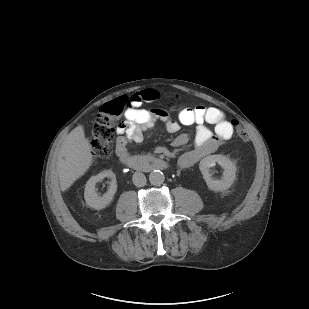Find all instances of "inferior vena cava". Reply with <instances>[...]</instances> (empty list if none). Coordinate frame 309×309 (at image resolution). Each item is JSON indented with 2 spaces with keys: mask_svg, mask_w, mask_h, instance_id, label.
Listing matches in <instances>:
<instances>
[{
  "mask_svg": "<svg viewBox=\"0 0 309 309\" xmlns=\"http://www.w3.org/2000/svg\"><path fill=\"white\" fill-rule=\"evenodd\" d=\"M132 181L135 186L143 187L146 185V177L142 172H135L132 177Z\"/></svg>",
  "mask_w": 309,
  "mask_h": 309,
  "instance_id": "1",
  "label": "inferior vena cava"
}]
</instances>
